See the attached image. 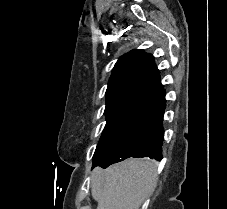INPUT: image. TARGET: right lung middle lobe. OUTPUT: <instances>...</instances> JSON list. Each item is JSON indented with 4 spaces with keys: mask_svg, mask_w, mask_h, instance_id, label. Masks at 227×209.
Returning <instances> with one entry per match:
<instances>
[{
    "mask_svg": "<svg viewBox=\"0 0 227 209\" xmlns=\"http://www.w3.org/2000/svg\"><path fill=\"white\" fill-rule=\"evenodd\" d=\"M153 108L129 99L115 102L105 111L106 125L93 156V166H101L106 159L133 138L148 123Z\"/></svg>",
    "mask_w": 227,
    "mask_h": 209,
    "instance_id": "1",
    "label": "right lung middle lobe"
}]
</instances>
